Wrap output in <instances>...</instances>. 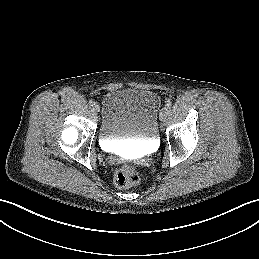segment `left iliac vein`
I'll return each instance as SVG.
<instances>
[{"label": "left iliac vein", "mask_w": 259, "mask_h": 259, "mask_svg": "<svg viewBox=\"0 0 259 259\" xmlns=\"http://www.w3.org/2000/svg\"><path fill=\"white\" fill-rule=\"evenodd\" d=\"M167 114H168V109L167 108H162L161 111H160V114H159V119L161 121H163L166 117H167Z\"/></svg>", "instance_id": "1"}]
</instances>
